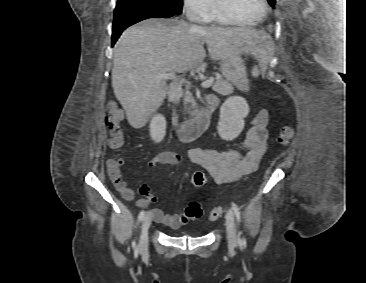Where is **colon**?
<instances>
[{"instance_id":"1","label":"colon","mask_w":366,"mask_h":283,"mask_svg":"<svg viewBox=\"0 0 366 283\" xmlns=\"http://www.w3.org/2000/svg\"><path fill=\"white\" fill-rule=\"evenodd\" d=\"M123 114L122 111L115 105L112 104L109 106L106 116L105 122L107 129L109 131V146L111 148H120L124 144V136L120 126V122L122 120ZM294 137V130L292 127H284L282 128L279 136L278 142L286 146ZM191 183L195 187H203L206 183V177L204 173L197 171L194 172L191 176ZM223 213L222 207H215L209 213V220L215 221L217 220ZM202 216V208L200 204L196 202H191L186 207L183 218L185 220H197Z\"/></svg>"}]
</instances>
